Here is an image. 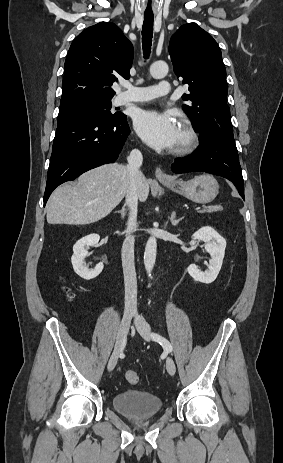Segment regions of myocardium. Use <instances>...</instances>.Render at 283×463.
Listing matches in <instances>:
<instances>
[{"instance_id": "myocardium-1", "label": "myocardium", "mask_w": 283, "mask_h": 463, "mask_svg": "<svg viewBox=\"0 0 283 463\" xmlns=\"http://www.w3.org/2000/svg\"><path fill=\"white\" fill-rule=\"evenodd\" d=\"M179 128L183 134V139L173 148L172 153L184 155L192 152L198 146L199 136L195 127L188 120H181L179 122Z\"/></svg>"}]
</instances>
